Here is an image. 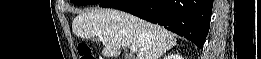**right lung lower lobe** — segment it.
Returning a JSON list of instances; mask_svg holds the SVG:
<instances>
[{
  "label": "right lung lower lobe",
  "mask_w": 261,
  "mask_h": 59,
  "mask_svg": "<svg viewBox=\"0 0 261 59\" xmlns=\"http://www.w3.org/2000/svg\"><path fill=\"white\" fill-rule=\"evenodd\" d=\"M115 8L159 24L203 49L210 28L212 0H103Z\"/></svg>",
  "instance_id": "1"
}]
</instances>
